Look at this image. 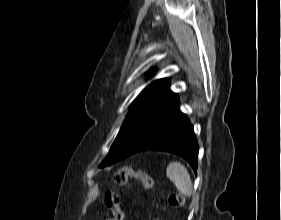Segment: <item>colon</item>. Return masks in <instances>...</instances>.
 <instances>
[{
    "instance_id": "5ec220e1",
    "label": "colon",
    "mask_w": 281,
    "mask_h": 220,
    "mask_svg": "<svg viewBox=\"0 0 281 220\" xmlns=\"http://www.w3.org/2000/svg\"><path fill=\"white\" fill-rule=\"evenodd\" d=\"M130 176L138 178L146 189H151L153 187L151 177L141 169L125 166L116 171L113 176L114 187L109 189L104 196V203L112 213V218L110 220H124V213L120 207L121 197L118 189L127 184ZM169 203L172 206H181L184 203V197L179 193L171 194L169 196Z\"/></svg>"
}]
</instances>
